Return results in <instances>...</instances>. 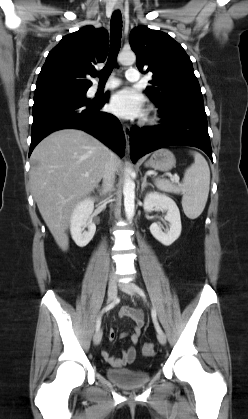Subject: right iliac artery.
I'll list each match as a JSON object with an SVG mask.
<instances>
[{"label":"right iliac artery","instance_id":"82829eb1","mask_svg":"<svg viewBox=\"0 0 248 419\" xmlns=\"http://www.w3.org/2000/svg\"><path fill=\"white\" fill-rule=\"evenodd\" d=\"M114 305H115L114 303H111V304L107 305L106 307H104V308L102 309V311H101V313H100V315L98 316L97 321H96V331L100 329V326H101V317H102V315H103L105 312H107V311H109L110 309H112V308L114 307Z\"/></svg>","mask_w":248,"mask_h":419}]
</instances>
